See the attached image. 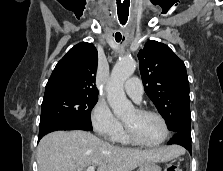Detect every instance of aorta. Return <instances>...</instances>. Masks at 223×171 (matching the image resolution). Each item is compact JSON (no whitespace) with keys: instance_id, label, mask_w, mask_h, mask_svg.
Here are the masks:
<instances>
[{"instance_id":"1","label":"aorta","mask_w":223,"mask_h":171,"mask_svg":"<svg viewBox=\"0 0 223 171\" xmlns=\"http://www.w3.org/2000/svg\"><path fill=\"white\" fill-rule=\"evenodd\" d=\"M135 69L136 62L133 59L119 60L112 69L107 84V100L117 117H122L133 110L132 103L125 95L124 83Z\"/></svg>"}]
</instances>
